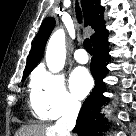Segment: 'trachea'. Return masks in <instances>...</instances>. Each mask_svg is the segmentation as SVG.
<instances>
[{
  "instance_id": "trachea-1",
  "label": "trachea",
  "mask_w": 136,
  "mask_h": 136,
  "mask_svg": "<svg viewBox=\"0 0 136 136\" xmlns=\"http://www.w3.org/2000/svg\"><path fill=\"white\" fill-rule=\"evenodd\" d=\"M76 17H77L78 22L81 23V21H82V13H81V10H80L78 5H76ZM84 48L86 49V51L89 54H93L92 44H91V41L88 38H86L84 40Z\"/></svg>"
}]
</instances>
